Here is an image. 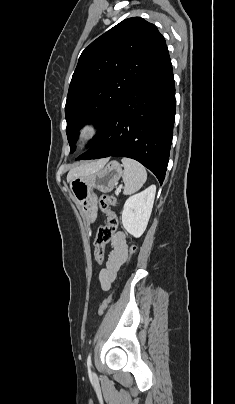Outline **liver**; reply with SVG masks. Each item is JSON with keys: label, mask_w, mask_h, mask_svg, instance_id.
I'll use <instances>...</instances> for the list:
<instances>
[{"label": "liver", "mask_w": 235, "mask_h": 404, "mask_svg": "<svg viewBox=\"0 0 235 404\" xmlns=\"http://www.w3.org/2000/svg\"><path fill=\"white\" fill-rule=\"evenodd\" d=\"M107 161V159H101L95 162L84 163L72 168L67 175V182H70L76 177L96 172L97 170L101 169Z\"/></svg>", "instance_id": "obj_1"}]
</instances>
